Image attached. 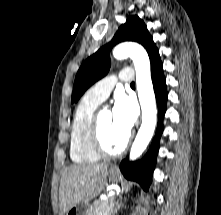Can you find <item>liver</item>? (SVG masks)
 I'll list each match as a JSON object with an SVG mask.
<instances>
[{"label": "liver", "instance_id": "obj_1", "mask_svg": "<svg viewBox=\"0 0 221 215\" xmlns=\"http://www.w3.org/2000/svg\"><path fill=\"white\" fill-rule=\"evenodd\" d=\"M108 176V164H77L64 169L59 188L60 215L97 197Z\"/></svg>", "mask_w": 221, "mask_h": 215}]
</instances>
